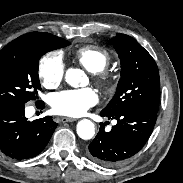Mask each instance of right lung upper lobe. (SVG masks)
I'll list each match as a JSON object with an SVG mask.
<instances>
[{"label":"right lung upper lobe","mask_w":183,"mask_h":183,"mask_svg":"<svg viewBox=\"0 0 183 183\" xmlns=\"http://www.w3.org/2000/svg\"><path fill=\"white\" fill-rule=\"evenodd\" d=\"M64 39L59 38L57 36L51 35L49 33H45V32H33V33H28L25 35H22L20 37H18L17 39L13 40L12 42H10L8 45H6L5 47H10L19 43H23V42H33V41H39V42H43L45 44L54 46V45H59L62 43ZM4 47V48H5Z\"/></svg>","instance_id":"cb5924a9"}]
</instances>
